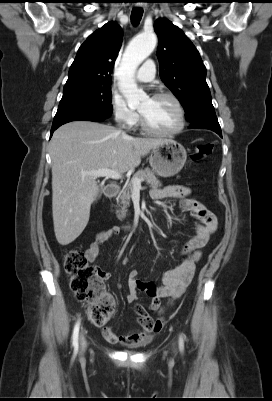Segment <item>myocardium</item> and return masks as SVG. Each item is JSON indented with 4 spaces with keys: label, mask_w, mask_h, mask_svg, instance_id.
<instances>
[{
    "label": "myocardium",
    "mask_w": 272,
    "mask_h": 401,
    "mask_svg": "<svg viewBox=\"0 0 272 401\" xmlns=\"http://www.w3.org/2000/svg\"><path fill=\"white\" fill-rule=\"evenodd\" d=\"M161 98L170 99L175 104L178 114H179V122H178V125L176 126V128L169 130V131H162V130L154 129L148 125V123L145 120V117L139 111L140 127L144 132L151 134V135L162 136V137L175 136V135L181 133L186 125L185 109L183 107V104L179 100V98L170 92H157L151 96V99H161Z\"/></svg>",
    "instance_id": "obj_1"
}]
</instances>
